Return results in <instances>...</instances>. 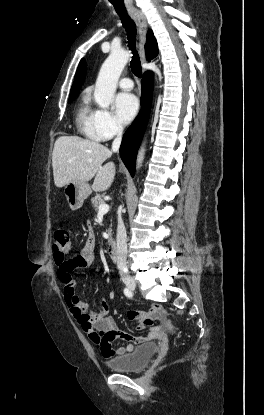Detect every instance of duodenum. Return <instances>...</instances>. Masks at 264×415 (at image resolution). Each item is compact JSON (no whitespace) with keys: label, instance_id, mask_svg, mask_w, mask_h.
Returning a JSON list of instances; mask_svg holds the SVG:
<instances>
[{"label":"duodenum","instance_id":"duodenum-1","mask_svg":"<svg viewBox=\"0 0 264 415\" xmlns=\"http://www.w3.org/2000/svg\"><path fill=\"white\" fill-rule=\"evenodd\" d=\"M107 253L109 259L114 262L117 258V244L114 239H108L107 241Z\"/></svg>","mask_w":264,"mask_h":415}]
</instances>
